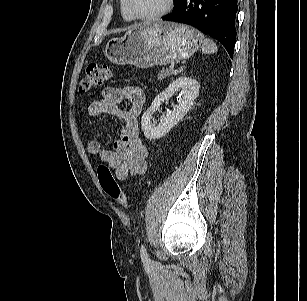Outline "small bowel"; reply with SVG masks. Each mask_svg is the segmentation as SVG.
Segmentation results:
<instances>
[{"label":"small bowel","instance_id":"c3829d8e","mask_svg":"<svg viewBox=\"0 0 307 301\" xmlns=\"http://www.w3.org/2000/svg\"><path fill=\"white\" fill-rule=\"evenodd\" d=\"M124 100L129 103L127 110L120 107ZM144 102L145 95L140 87H107L102 92V98L92 101L87 109L89 117L107 114L123 122L120 138L114 142L112 150L104 149L97 139L88 142V152L113 169L119 181L142 175L148 168V150L141 141L137 128V118L143 110Z\"/></svg>","mask_w":307,"mask_h":301}]
</instances>
